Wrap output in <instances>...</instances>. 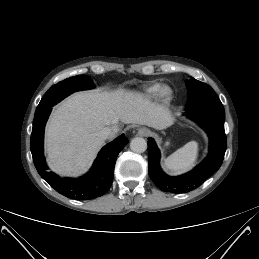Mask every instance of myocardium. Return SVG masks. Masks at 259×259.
Listing matches in <instances>:
<instances>
[{
	"label": "myocardium",
	"instance_id": "myocardium-1",
	"mask_svg": "<svg viewBox=\"0 0 259 259\" xmlns=\"http://www.w3.org/2000/svg\"><path fill=\"white\" fill-rule=\"evenodd\" d=\"M158 95L162 101L169 102L173 97V91L169 86L164 85L160 87Z\"/></svg>",
	"mask_w": 259,
	"mask_h": 259
}]
</instances>
